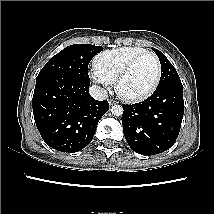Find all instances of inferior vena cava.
Listing matches in <instances>:
<instances>
[{"label": "inferior vena cava", "mask_w": 214, "mask_h": 214, "mask_svg": "<svg viewBox=\"0 0 214 214\" xmlns=\"http://www.w3.org/2000/svg\"><path fill=\"white\" fill-rule=\"evenodd\" d=\"M90 95L96 100H105L108 97V93L104 88L97 85H92L89 88Z\"/></svg>", "instance_id": "inferior-vena-cava-1"}]
</instances>
